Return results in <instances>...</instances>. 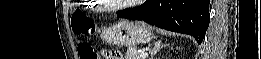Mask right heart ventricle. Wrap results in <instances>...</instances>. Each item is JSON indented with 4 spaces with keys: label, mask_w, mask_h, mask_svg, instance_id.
I'll list each match as a JSON object with an SVG mask.
<instances>
[{
    "label": "right heart ventricle",
    "mask_w": 261,
    "mask_h": 59,
    "mask_svg": "<svg viewBox=\"0 0 261 59\" xmlns=\"http://www.w3.org/2000/svg\"><path fill=\"white\" fill-rule=\"evenodd\" d=\"M91 8H92L93 10H94V9H96V10L98 9V7H94V6H92Z\"/></svg>",
    "instance_id": "right-heart-ventricle-1"
}]
</instances>
